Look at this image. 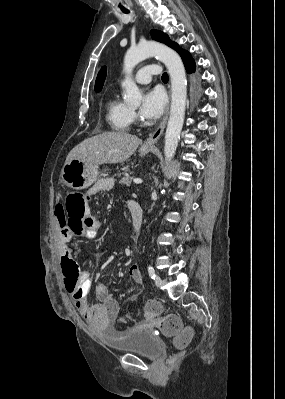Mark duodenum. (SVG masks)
I'll list each match as a JSON object with an SVG mask.
<instances>
[{"instance_id":"obj_1","label":"duodenum","mask_w":285,"mask_h":399,"mask_svg":"<svg viewBox=\"0 0 285 399\" xmlns=\"http://www.w3.org/2000/svg\"><path fill=\"white\" fill-rule=\"evenodd\" d=\"M131 220L132 227L136 233H138L143 223V213L140 205H134L131 209Z\"/></svg>"}]
</instances>
